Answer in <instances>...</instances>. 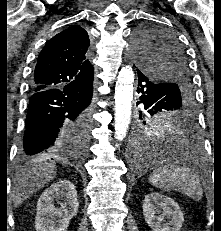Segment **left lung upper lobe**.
<instances>
[{
    "mask_svg": "<svg viewBox=\"0 0 221 231\" xmlns=\"http://www.w3.org/2000/svg\"><path fill=\"white\" fill-rule=\"evenodd\" d=\"M134 50L139 67L167 86L159 96L143 103L146 114L151 117L190 114L194 101L192 81L186 53L176 37L158 26L143 24L135 33Z\"/></svg>",
    "mask_w": 221,
    "mask_h": 231,
    "instance_id": "left-lung-upper-lobe-1",
    "label": "left lung upper lobe"
}]
</instances>
